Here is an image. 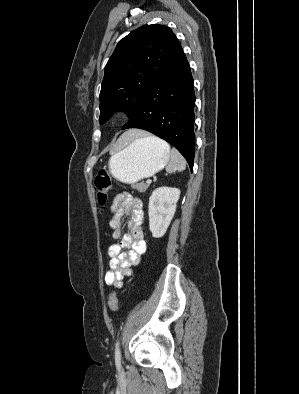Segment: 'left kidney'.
Listing matches in <instances>:
<instances>
[{
  "label": "left kidney",
  "instance_id": "left-kidney-1",
  "mask_svg": "<svg viewBox=\"0 0 299 394\" xmlns=\"http://www.w3.org/2000/svg\"><path fill=\"white\" fill-rule=\"evenodd\" d=\"M180 190L172 187H159L149 198V228L154 238H161L167 231L176 211Z\"/></svg>",
  "mask_w": 299,
  "mask_h": 394
}]
</instances>
